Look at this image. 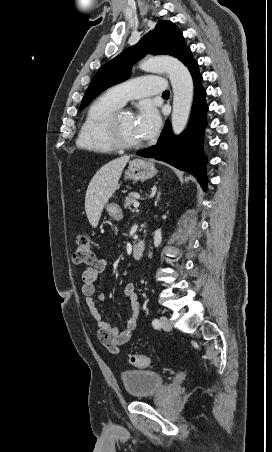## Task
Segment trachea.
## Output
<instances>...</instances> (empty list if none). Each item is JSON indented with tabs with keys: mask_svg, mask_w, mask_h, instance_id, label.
Here are the masks:
<instances>
[{
	"mask_svg": "<svg viewBox=\"0 0 272 452\" xmlns=\"http://www.w3.org/2000/svg\"><path fill=\"white\" fill-rule=\"evenodd\" d=\"M169 94H170V92L168 90L163 92V95H169Z\"/></svg>",
	"mask_w": 272,
	"mask_h": 452,
	"instance_id": "obj_1",
	"label": "trachea"
}]
</instances>
